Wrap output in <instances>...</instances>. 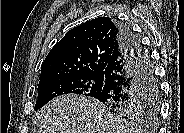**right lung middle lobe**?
Listing matches in <instances>:
<instances>
[{
    "label": "right lung middle lobe",
    "mask_w": 184,
    "mask_h": 133,
    "mask_svg": "<svg viewBox=\"0 0 184 133\" xmlns=\"http://www.w3.org/2000/svg\"><path fill=\"white\" fill-rule=\"evenodd\" d=\"M151 81V87L147 93L146 99L134 104H122L115 106L106 105L107 107H105L108 110H113L125 115L156 116L159 108V88L154 75ZM103 82L104 76L101 74L64 77L50 81L38 88V100L34 109L37 110L53 98L68 93L95 97L102 90Z\"/></svg>",
    "instance_id": "obj_1"
}]
</instances>
